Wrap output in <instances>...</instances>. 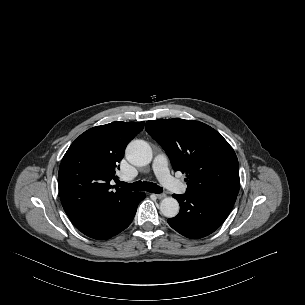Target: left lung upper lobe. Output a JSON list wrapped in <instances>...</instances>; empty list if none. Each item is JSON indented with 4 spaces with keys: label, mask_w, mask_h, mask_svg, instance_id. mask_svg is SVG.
<instances>
[{
    "label": "left lung upper lobe",
    "mask_w": 305,
    "mask_h": 305,
    "mask_svg": "<svg viewBox=\"0 0 305 305\" xmlns=\"http://www.w3.org/2000/svg\"><path fill=\"white\" fill-rule=\"evenodd\" d=\"M145 129L165 150L173 169L187 174L186 193L238 194V159L216 130L183 119L147 121Z\"/></svg>",
    "instance_id": "left-lung-upper-lobe-1"
}]
</instances>
